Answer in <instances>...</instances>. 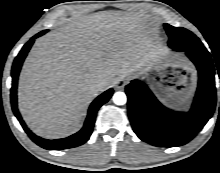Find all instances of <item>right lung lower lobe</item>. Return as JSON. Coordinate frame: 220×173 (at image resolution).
<instances>
[{
  "mask_svg": "<svg viewBox=\"0 0 220 173\" xmlns=\"http://www.w3.org/2000/svg\"><path fill=\"white\" fill-rule=\"evenodd\" d=\"M43 33L44 32L36 35L35 37H33L31 39V41H29L27 44H25V46L20 51V53L18 54V56L16 57V59L13 63L12 73H11L12 74L11 100H12L14 114L17 117V119L19 120L20 124L23 126L24 130L31 136V138L34 141L38 137L32 136L33 133H31L30 130L25 127V124L23 123V121L20 117V114L16 108L17 107L16 86H17V77H18L22 62H23L28 50L30 49V47L33 43V39L42 35ZM112 93H113V90L109 89L108 91L104 92L102 95H100L99 97H97L94 100V102L91 104V106L89 108V112H88V116H87L85 125L81 131H79L78 133H76L68 138L54 140V141L38 138L39 140L44 142V144L39 143V145L45 149L57 150V149H59L57 143L61 144L62 145L61 147L64 146L65 148L76 147V146H79V145H82L83 143H85L88 140V138L92 132L93 124H94L96 113H97L98 109L104 103H106L108 101V99L111 97Z\"/></svg>",
  "mask_w": 220,
  "mask_h": 173,
  "instance_id": "obj_1",
  "label": "right lung lower lobe"
}]
</instances>
